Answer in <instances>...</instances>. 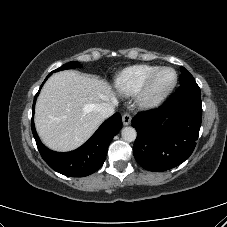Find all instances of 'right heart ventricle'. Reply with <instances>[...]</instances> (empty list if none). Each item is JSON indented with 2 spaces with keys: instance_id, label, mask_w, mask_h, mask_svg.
<instances>
[{
  "instance_id": "1",
  "label": "right heart ventricle",
  "mask_w": 227,
  "mask_h": 227,
  "mask_svg": "<svg viewBox=\"0 0 227 227\" xmlns=\"http://www.w3.org/2000/svg\"><path fill=\"white\" fill-rule=\"evenodd\" d=\"M158 68V66L146 64L127 67L117 74L113 85L120 94L134 95L141 90L146 80Z\"/></svg>"
}]
</instances>
